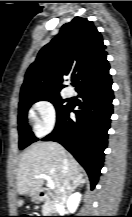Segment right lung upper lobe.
Returning a JSON list of instances; mask_svg holds the SVG:
<instances>
[{
  "instance_id": "obj_1",
  "label": "right lung upper lobe",
  "mask_w": 132,
  "mask_h": 217,
  "mask_svg": "<svg viewBox=\"0 0 132 217\" xmlns=\"http://www.w3.org/2000/svg\"><path fill=\"white\" fill-rule=\"evenodd\" d=\"M105 49L93 22L75 17L39 51L25 74L20 98L59 94L67 78L76 90L108 79L110 66Z\"/></svg>"
}]
</instances>
